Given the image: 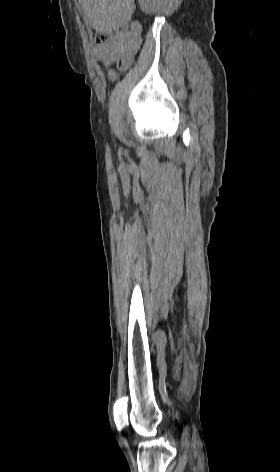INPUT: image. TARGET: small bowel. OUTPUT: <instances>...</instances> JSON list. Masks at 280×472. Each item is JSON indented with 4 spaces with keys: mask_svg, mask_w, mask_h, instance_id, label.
I'll list each match as a JSON object with an SVG mask.
<instances>
[{
    "mask_svg": "<svg viewBox=\"0 0 280 472\" xmlns=\"http://www.w3.org/2000/svg\"><path fill=\"white\" fill-rule=\"evenodd\" d=\"M141 44V26L133 22L130 31L116 34L111 40L102 46H95L93 53L95 57L106 66L117 63L123 57H129L130 65ZM110 79L116 78V73L109 71Z\"/></svg>",
    "mask_w": 280,
    "mask_h": 472,
    "instance_id": "obj_1",
    "label": "small bowel"
}]
</instances>
